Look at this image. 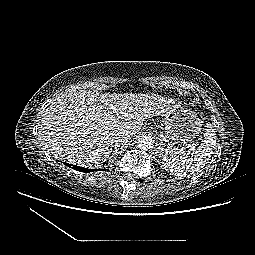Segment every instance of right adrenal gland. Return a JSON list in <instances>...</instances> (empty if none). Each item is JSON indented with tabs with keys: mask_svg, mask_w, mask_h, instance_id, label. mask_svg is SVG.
<instances>
[{
	"mask_svg": "<svg viewBox=\"0 0 255 255\" xmlns=\"http://www.w3.org/2000/svg\"><path fill=\"white\" fill-rule=\"evenodd\" d=\"M120 145H116L114 150L112 151V156L111 157H116L118 154V149H119Z\"/></svg>",
	"mask_w": 255,
	"mask_h": 255,
	"instance_id": "2a0ac1e0",
	"label": "right adrenal gland"
}]
</instances>
